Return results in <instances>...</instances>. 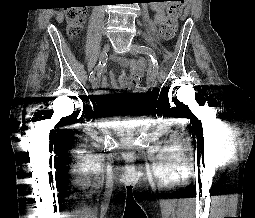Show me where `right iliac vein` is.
<instances>
[{"mask_svg": "<svg viewBox=\"0 0 255 218\" xmlns=\"http://www.w3.org/2000/svg\"><path fill=\"white\" fill-rule=\"evenodd\" d=\"M109 49H110V44L109 43L105 44V46L103 47L102 53L100 55V61L101 62L105 61L106 54L109 51ZM91 85H92L93 89H96L98 87L99 81H98V79L96 77L91 80Z\"/></svg>", "mask_w": 255, "mask_h": 218, "instance_id": "1", "label": "right iliac vein"}]
</instances>
